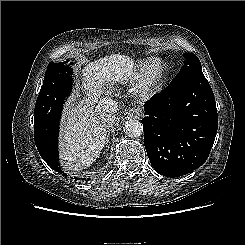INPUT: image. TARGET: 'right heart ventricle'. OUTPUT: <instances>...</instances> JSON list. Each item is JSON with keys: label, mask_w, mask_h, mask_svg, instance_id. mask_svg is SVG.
I'll return each mask as SVG.
<instances>
[{"label": "right heart ventricle", "mask_w": 245, "mask_h": 245, "mask_svg": "<svg viewBox=\"0 0 245 245\" xmlns=\"http://www.w3.org/2000/svg\"><path fill=\"white\" fill-rule=\"evenodd\" d=\"M149 61L150 60H144V61L140 62L136 66V68L128 75V77L126 79L128 81H133V80L140 78L144 74Z\"/></svg>", "instance_id": "1"}]
</instances>
